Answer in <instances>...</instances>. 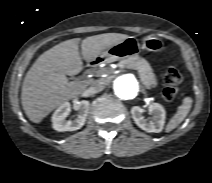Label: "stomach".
I'll return each instance as SVG.
<instances>
[{
  "instance_id": "stomach-1",
  "label": "stomach",
  "mask_w": 212,
  "mask_h": 183,
  "mask_svg": "<svg viewBox=\"0 0 212 183\" xmlns=\"http://www.w3.org/2000/svg\"><path fill=\"white\" fill-rule=\"evenodd\" d=\"M141 48L150 52H161L165 48V43L161 38L146 36L143 38L141 46L138 40L131 36L108 47L102 57L107 62L123 60L136 56Z\"/></svg>"
}]
</instances>
